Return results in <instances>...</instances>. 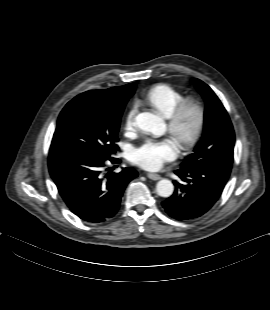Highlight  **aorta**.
I'll use <instances>...</instances> for the list:
<instances>
[{
	"instance_id": "aorta-1",
	"label": "aorta",
	"mask_w": 270,
	"mask_h": 310,
	"mask_svg": "<svg viewBox=\"0 0 270 310\" xmlns=\"http://www.w3.org/2000/svg\"><path fill=\"white\" fill-rule=\"evenodd\" d=\"M137 127L143 131L161 134L165 131L163 119L153 113L143 112L136 116ZM157 194L161 197H170L174 191L173 183L168 179L160 180L156 185Z\"/></svg>"
}]
</instances>
